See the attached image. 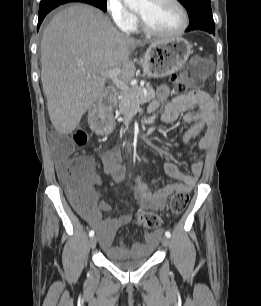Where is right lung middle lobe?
Segmentation results:
<instances>
[{"instance_id": "1", "label": "right lung middle lobe", "mask_w": 261, "mask_h": 306, "mask_svg": "<svg viewBox=\"0 0 261 306\" xmlns=\"http://www.w3.org/2000/svg\"><path fill=\"white\" fill-rule=\"evenodd\" d=\"M51 1H54V0H41L40 4L51 2ZM106 1L107 0H85V3L92 4V5L100 8V9H102L103 11H106Z\"/></svg>"}]
</instances>
